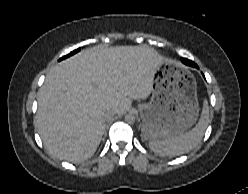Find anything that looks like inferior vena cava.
Instances as JSON below:
<instances>
[{
	"label": "inferior vena cava",
	"mask_w": 248,
	"mask_h": 194,
	"mask_svg": "<svg viewBox=\"0 0 248 194\" xmlns=\"http://www.w3.org/2000/svg\"><path fill=\"white\" fill-rule=\"evenodd\" d=\"M113 115H114V112H110V113L106 114V116H105L106 120H110L113 117Z\"/></svg>",
	"instance_id": "602c4592"
}]
</instances>
